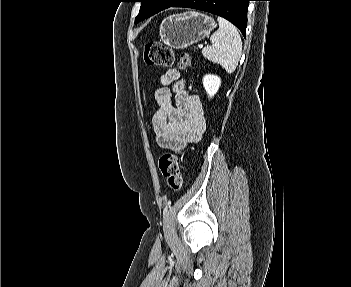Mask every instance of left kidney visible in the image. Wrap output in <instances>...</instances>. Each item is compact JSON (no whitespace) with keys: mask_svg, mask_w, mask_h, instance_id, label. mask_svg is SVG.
<instances>
[{"mask_svg":"<svg viewBox=\"0 0 351 287\" xmlns=\"http://www.w3.org/2000/svg\"><path fill=\"white\" fill-rule=\"evenodd\" d=\"M220 85L221 79L217 75L208 74L203 77V86L210 98L217 93Z\"/></svg>","mask_w":351,"mask_h":287,"instance_id":"obj_1","label":"left kidney"}]
</instances>
